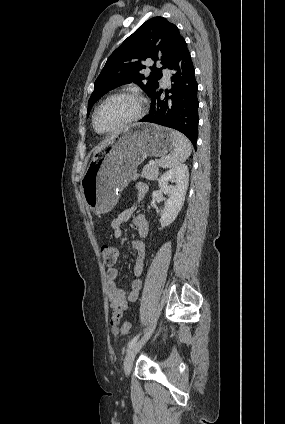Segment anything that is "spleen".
Listing matches in <instances>:
<instances>
[{
    "label": "spleen",
    "mask_w": 285,
    "mask_h": 424,
    "mask_svg": "<svg viewBox=\"0 0 285 424\" xmlns=\"http://www.w3.org/2000/svg\"><path fill=\"white\" fill-rule=\"evenodd\" d=\"M174 147L170 155L162 157L159 165L163 168L175 167L183 163L192 152V145L187 137L178 131H173Z\"/></svg>",
    "instance_id": "3e777b00"
}]
</instances>
